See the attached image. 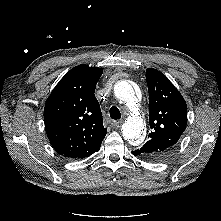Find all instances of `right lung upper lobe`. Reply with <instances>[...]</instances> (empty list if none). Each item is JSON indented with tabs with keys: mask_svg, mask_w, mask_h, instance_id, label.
Listing matches in <instances>:
<instances>
[{
	"mask_svg": "<svg viewBox=\"0 0 221 221\" xmlns=\"http://www.w3.org/2000/svg\"><path fill=\"white\" fill-rule=\"evenodd\" d=\"M102 68L79 65L59 81L44 108L45 130L57 153L84 158L100 149L107 129L95 98Z\"/></svg>",
	"mask_w": 221,
	"mask_h": 221,
	"instance_id": "1",
	"label": "right lung upper lobe"
}]
</instances>
